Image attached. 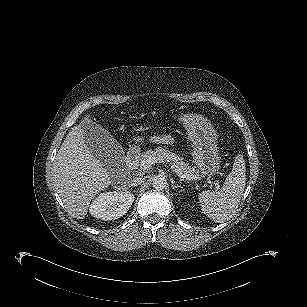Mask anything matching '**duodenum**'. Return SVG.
<instances>
[{
  "label": "duodenum",
  "mask_w": 307,
  "mask_h": 307,
  "mask_svg": "<svg viewBox=\"0 0 307 307\" xmlns=\"http://www.w3.org/2000/svg\"><path fill=\"white\" fill-rule=\"evenodd\" d=\"M135 152L134 151H131L129 154H128V162H131L133 161L134 157H135Z\"/></svg>",
  "instance_id": "410a0bca"
}]
</instances>
